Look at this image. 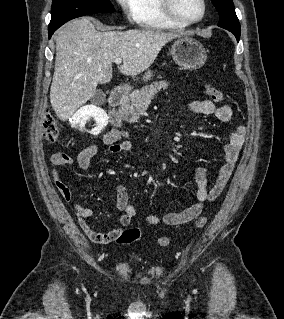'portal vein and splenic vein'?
Here are the masks:
<instances>
[{
  "instance_id": "1",
  "label": "portal vein and splenic vein",
  "mask_w": 284,
  "mask_h": 319,
  "mask_svg": "<svg viewBox=\"0 0 284 319\" xmlns=\"http://www.w3.org/2000/svg\"><path fill=\"white\" fill-rule=\"evenodd\" d=\"M114 62L119 65V64H121L122 60L120 58H116L114 60Z\"/></svg>"
}]
</instances>
